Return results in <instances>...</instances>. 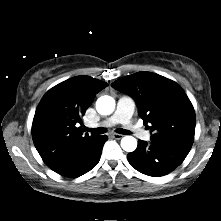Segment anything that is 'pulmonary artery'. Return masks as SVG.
I'll list each match as a JSON object with an SVG mask.
<instances>
[{
	"mask_svg": "<svg viewBox=\"0 0 221 221\" xmlns=\"http://www.w3.org/2000/svg\"><path fill=\"white\" fill-rule=\"evenodd\" d=\"M134 110V102L129 97H121L118 100L116 110L112 116L102 122V126L110 127L122 124L131 131L136 137L143 140H150L149 132L143 130L131 121Z\"/></svg>",
	"mask_w": 221,
	"mask_h": 221,
	"instance_id": "1",
	"label": "pulmonary artery"
}]
</instances>
